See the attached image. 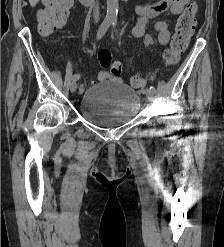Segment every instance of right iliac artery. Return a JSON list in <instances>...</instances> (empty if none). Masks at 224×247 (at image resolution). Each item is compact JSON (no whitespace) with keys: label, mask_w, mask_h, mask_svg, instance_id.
<instances>
[{"label":"right iliac artery","mask_w":224,"mask_h":247,"mask_svg":"<svg viewBox=\"0 0 224 247\" xmlns=\"http://www.w3.org/2000/svg\"><path fill=\"white\" fill-rule=\"evenodd\" d=\"M111 24H112V19L110 18L104 19V21L102 22L101 26L98 29L96 36L97 40H100L103 37V35L106 33V31L108 30ZM79 78H80V74H75L72 77V81H77Z\"/></svg>","instance_id":"obj_1"}]
</instances>
